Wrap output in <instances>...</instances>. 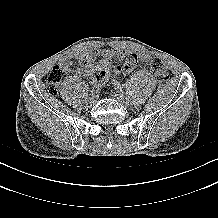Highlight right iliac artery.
I'll list each match as a JSON object with an SVG mask.
<instances>
[{
	"instance_id": "obj_1",
	"label": "right iliac artery",
	"mask_w": 218,
	"mask_h": 218,
	"mask_svg": "<svg viewBox=\"0 0 218 218\" xmlns=\"http://www.w3.org/2000/svg\"><path fill=\"white\" fill-rule=\"evenodd\" d=\"M98 91L95 89V88H93L92 90H91V93L92 94H95V93H97Z\"/></svg>"
}]
</instances>
